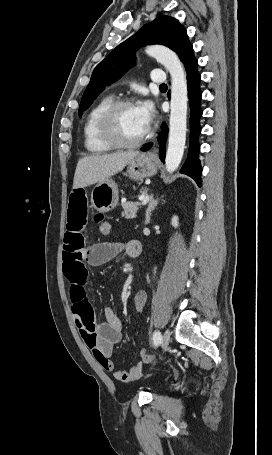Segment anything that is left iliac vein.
<instances>
[{"instance_id":"1","label":"left iliac vein","mask_w":272,"mask_h":455,"mask_svg":"<svg viewBox=\"0 0 272 455\" xmlns=\"http://www.w3.org/2000/svg\"><path fill=\"white\" fill-rule=\"evenodd\" d=\"M170 342V332L169 330H165L162 336V349L163 351L166 350L168 344Z\"/></svg>"}]
</instances>
